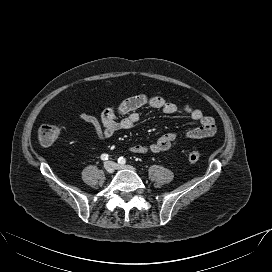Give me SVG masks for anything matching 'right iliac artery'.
<instances>
[{
    "instance_id": "right-iliac-artery-1",
    "label": "right iliac artery",
    "mask_w": 272,
    "mask_h": 272,
    "mask_svg": "<svg viewBox=\"0 0 272 272\" xmlns=\"http://www.w3.org/2000/svg\"><path fill=\"white\" fill-rule=\"evenodd\" d=\"M108 158H109L108 154L104 153V154L101 155V160H103V161L108 160Z\"/></svg>"
}]
</instances>
